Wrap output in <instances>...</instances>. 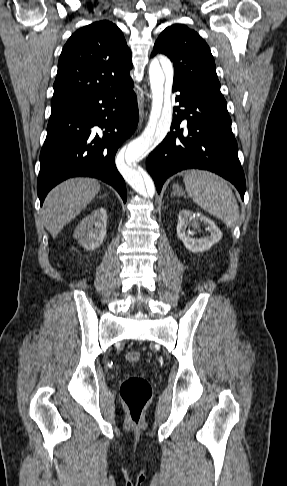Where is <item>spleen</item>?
<instances>
[{
    "label": "spleen",
    "mask_w": 287,
    "mask_h": 486,
    "mask_svg": "<svg viewBox=\"0 0 287 486\" xmlns=\"http://www.w3.org/2000/svg\"><path fill=\"white\" fill-rule=\"evenodd\" d=\"M189 197L203 210L234 228L239 219L237 200L226 180L203 170H191L184 177Z\"/></svg>",
    "instance_id": "3e777b00"
}]
</instances>
